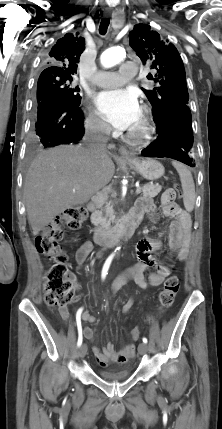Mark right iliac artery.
<instances>
[{
  "label": "right iliac artery",
  "mask_w": 222,
  "mask_h": 429,
  "mask_svg": "<svg viewBox=\"0 0 222 429\" xmlns=\"http://www.w3.org/2000/svg\"><path fill=\"white\" fill-rule=\"evenodd\" d=\"M113 259V255H110L107 260L104 263L103 269H102V274L101 277L104 280L108 269L110 267V264L112 262ZM82 308H80L77 313H76V322H77V329H78V341H77V346L80 347L83 341V337H82V326H81V313H82Z\"/></svg>",
  "instance_id": "obj_1"
}]
</instances>
